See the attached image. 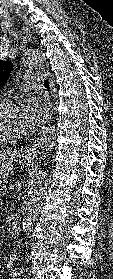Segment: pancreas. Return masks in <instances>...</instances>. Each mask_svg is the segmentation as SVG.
<instances>
[{"mask_svg":"<svg viewBox=\"0 0 113 279\" xmlns=\"http://www.w3.org/2000/svg\"><path fill=\"white\" fill-rule=\"evenodd\" d=\"M7 183H8V181H7L6 179H4V180L1 182L0 193L6 194V192H8L7 186H6Z\"/></svg>","mask_w":113,"mask_h":279,"instance_id":"obj_1","label":"pancreas"}]
</instances>
